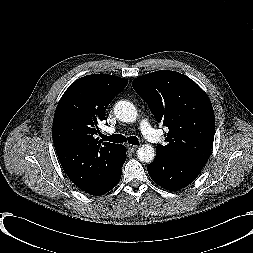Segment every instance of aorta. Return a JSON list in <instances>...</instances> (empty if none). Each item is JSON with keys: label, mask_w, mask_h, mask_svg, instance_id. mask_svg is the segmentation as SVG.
I'll return each instance as SVG.
<instances>
[{"label": "aorta", "mask_w": 253, "mask_h": 253, "mask_svg": "<svg viewBox=\"0 0 253 253\" xmlns=\"http://www.w3.org/2000/svg\"><path fill=\"white\" fill-rule=\"evenodd\" d=\"M115 116L122 122L132 123L137 118V110L135 106L125 100L118 101L114 107ZM138 159L144 163H150L155 158V150L151 145H142L137 150Z\"/></svg>", "instance_id": "1"}]
</instances>
